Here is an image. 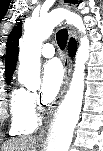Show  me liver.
I'll return each mask as SVG.
<instances>
[{
  "label": "liver",
  "instance_id": "6515ba94",
  "mask_svg": "<svg viewBox=\"0 0 103 151\" xmlns=\"http://www.w3.org/2000/svg\"><path fill=\"white\" fill-rule=\"evenodd\" d=\"M37 141L34 136L12 138L0 147V151H36Z\"/></svg>",
  "mask_w": 103,
  "mask_h": 151
}]
</instances>
